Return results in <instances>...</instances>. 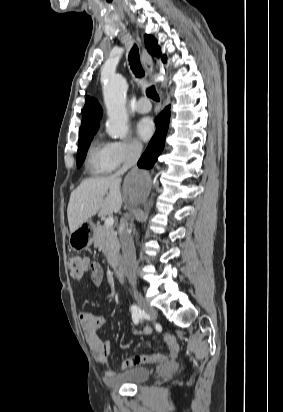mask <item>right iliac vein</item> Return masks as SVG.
Listing matches in <instances>:
<instances>
[{"label": "right iliac vein", "mask_w": 283, "mask_h": 412, "mask_svg": "<svg viewBox=\"0 0 283 412\" xmlns=\"http://www.w3.org/2000/svg\"><path fill=\"white\" fill-rule=\"evenodd\" d=\"M133 295L138 305L151 317L152 320L155 321L158 315L156 309L148 305L145 299L137 290H133Z\"/></svg>", "instance_id": "right-iliac-vein-1"}]
</instances>
